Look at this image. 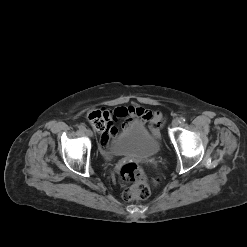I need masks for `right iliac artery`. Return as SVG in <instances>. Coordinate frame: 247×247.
<instances>
[{"label":"right iliac artery","mask_w":247,"mask_h":247,"mask_svg":"<svg viewBox=\"0 0 247 247\" xmlns=\"http://www.w3.org/2000/svg\"><path fill=\"white\" fill-rule=\"evenodd\" d=\"M78 127H79V129L82 130V131H84V130L86 129L85 126H84L83 124H80Z\"/></svg>","instance_id":"obj_1"}]
</instances>
